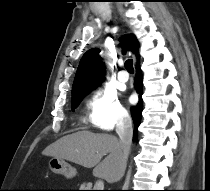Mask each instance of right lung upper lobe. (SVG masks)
Instances as JSON below:
<instances>
[{"label":"right lung upper lobe","mask_w":210,"mask_h":191,"mask_svg":"<svg viewBox=\"0 0 210 191\" xmlns=\"http://www.w3.org/2000/svg\"><path fill=\"white\" fill-rule=\"evenodd\" d=\"M121 46L125 50L138 53L139 43L134 35H126L122 38ZM105 66L102 58L99 56L98 49L88 50L82 57L77 69L72 86V99L77 96L89 93L104 79Z\"/></svg>","instance_id":"1"}]
</instances>
